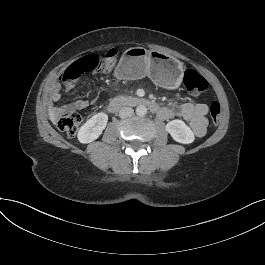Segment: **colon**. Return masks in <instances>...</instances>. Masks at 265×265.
<instances>
[{
    "instance_id": "1",
    "label": "colon",
    "mask_w": 265,
    "mask_h": 265,
    "mask_svg": "<svg viewBox=\"0 0 265 265\" xmlns=\"http://www.w3.org/2000/svg\"><path fill=\"white\" fill-rule=\"evenodd\" d=\"M116 63V51L110 50L105 56L97 54L87 55L72 63L62 74L61 79L67 86L73 85L83 73L98 69L104 73L112 71ZM183 82L189 93L193 96L202 95L208 88L207 80L193 69L184 73ZM221 106L213 102L210 106V117L213 125L220 119ZM81 123L78 113H70L58 120V128L68 136H74Z\"/></svg>"
}]
</instances>
